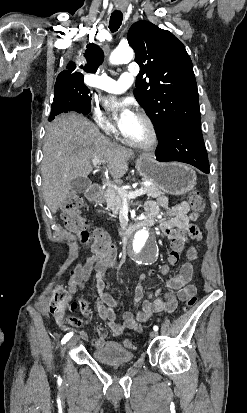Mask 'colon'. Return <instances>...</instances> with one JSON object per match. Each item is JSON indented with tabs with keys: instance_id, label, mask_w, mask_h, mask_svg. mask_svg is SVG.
Here are the masks:
<instances>
[{
	"instance_id": "colon-1",
	"label": "colon",
	"mask_w": 247,
	"mask_h": 413,
	"mask_svg": "<svg viewBox=\"0 0 247 413\" xmlns=\"http://www.w3.org/2000/svg\"><path fill=\"white\" fill-rule=\"evenodd\" d=\"M187 199L196 211L203 210L204 203L198 192L193 191L189 193ZM82 206V200L76 195H69L63 201L61 206V219L65 229L77 233L82 243L88 240L89 249L92 252H98L104 261H112L115 258V247L111 244L110 239L105 233L100 231L90 233L88 231V221L81 215ZM180 239L181 237H178V240L170 250V256L175 265L182 263V258L179 253L182 252L183 247ZM196 303L197 298H187L185 309L193 308ZM74 307H77V304H63L62 292L59 291L50 304V311L53 314H57L61 310L66 311L69 309L73 311ZM123 345L126 348H133L134 346L130 340H124Z\"/></svg>"
}]
</instances>
